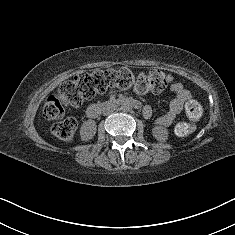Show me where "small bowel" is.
Instances as JSON below:
<instances>
[{
	"mask_svg": "<svg viewBox=\"0 0 235 235\" xmlns=\"http://www.w3.org/2000/svg\"><path fill=\"white\" fill-rule=\"evenodd\" d=\"M170 89L175 97L170 102L168 111L156 120L155 124L157 126H170L181 113L185 103L191 98L190 92L181 83H173ZM152 113L153 110L151 106L146 105L143 107L144 117L150 118Z\"/></svg>",
	"mask_w": 235,
	"mask_h": 235,
	"instance_id": "c3829d8e",
	"label": "small bowel"
}]
</instances>
